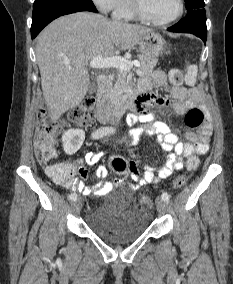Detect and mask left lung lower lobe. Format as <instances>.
I'll use <instances>...</instances> for the list:
<instances>
[{
    "label": "left lung lower lobe",
    "instance_id": "left-lung-lower-lobe-1",
    "mask_svg": "<svg viewBox=\"0 0 233 284\" xmlns=\"http://www.w3.org/2000/svg\"><path fill=\"white\" fill-rule=\"evenodd\" d=\"M168 31L192 33L205 42L207 39V27L204 8L196 9L193 13L186 15L177 24L168 28Z\"/></svg>",
    "mask_w": 233,
    "mask_h": 284
}]
</instances>
